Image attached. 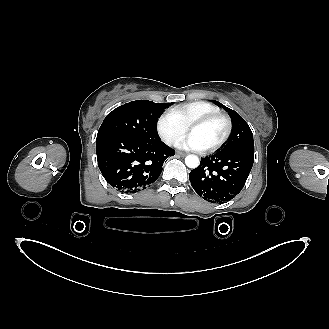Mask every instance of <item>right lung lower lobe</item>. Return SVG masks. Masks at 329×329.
I'll use <instances>...</instances> for the list:
<instances>
[{"label":"right lung lower lobe","instance_id":"98d812e1","mask_svg":"<svg viewBox=\"0 0 329 329\" xmlns=\"http://www.w3.org/2000/svg\"><path fill=\"white\" fill-rule=\"evenodd\" d=\"M99 169L105 180L122 193H136L153 184L174 150L160 140L105 133L97 135Z\"/></svg>","mask_w":329,"mask_h":329}]
</instances>
